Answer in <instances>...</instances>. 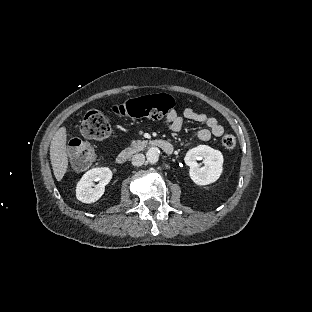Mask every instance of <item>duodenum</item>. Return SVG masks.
<instances>
[{
  "instance_id": "duodenum-1",
  "label": "duodenum",
  "mask_w": 312,
  "mask_h": 312,
  "mask_svg": "<svg viewBox=\"0 0 312 312\" xmlns=\"http://www.w3.org/2000/svg\"><path fill=\"white\" fill-rule=\"evenodd\" d=\"M147 146H156L159 147L161 150H163L166 154H174L175 153V147L173 143H171L168 140L162 139V138H154L145 143ZM135 149L134 147H127L124 150H122L116 157V161L118 164H123L126 162L134 153Z\"/></svg>"
}]
</instances>
